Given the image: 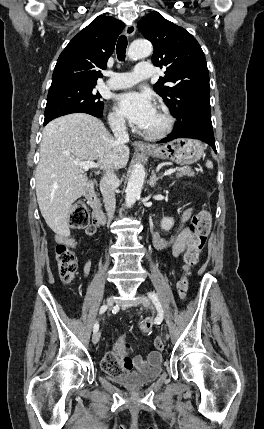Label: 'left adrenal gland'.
<instances>
[{"instance_id": "1", "label": "left adrenal gland", "mask_w": 264, "mask_h": 429, "mask_svg": "<svg viewBox=\"0 0 264 429\" xmlns=\"http://www.w3.org/2000/svg\"><path fill=\"white\" fill-rule=\"evenodd\" d=\"M160 179H161V177H157L155 171H152V174H151V177H150V181H149L150 186L152 188L155 187L156 183Z\"/></svg>"}]
</instances>
